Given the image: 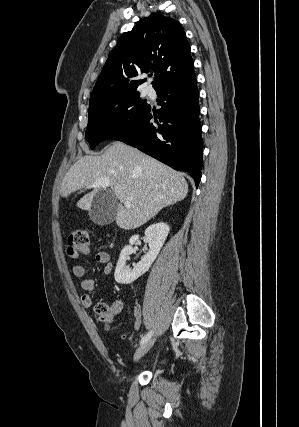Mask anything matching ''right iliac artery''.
I'll return each mask as SVG.
<instances>
[{"mask_svg":"<svg viewBox=\"0 0 299 427\" xmlns=\"http://www.w3.org/2000/svg\"><path fill=\"white\" fill-rule=\"evenodd\" d=\"M153 335V332L152 331H150V332H148L142 339H141V341H140V344H143V343H145V342H147L150 338H151V336Z\"/></svg>","mask_w":299,"mask_h":427,"instance_id":"1","label":"right iliac artery"}]
</instances>
